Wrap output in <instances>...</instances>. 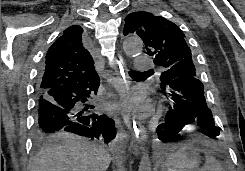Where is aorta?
Here are the masks:
<instances>
[{"label": "aorta", "instance_id": "aorta-1", "mask_svg": "<svg viewBox=\"0 0 245 171\" xmlns=\"http://www.w3.org/2000/svg\"><path fill=\"white\" fill-rule=\"evenodd\" d=\"M142 41L139 38H127L123 42V49L127 56L132 57L142 51ZM138 171H151V161L148 153H144L141 157Z\"/></svg>", "mask_w": 245, "mask_h": 171}]
</instances>
